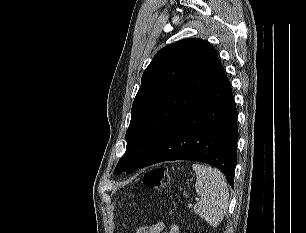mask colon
Returning <instances> with one entry per match:
<instances>
[{"mask_svg":"<svg viewBox=\"0 0 306 233\" xmlns=\"http://www.w3.org/2000/svg\"><path fill=\"white\" fill-rule=\"evenodd\" d=\"M168 179L166 167H157L148 171L143 178L145 188L154 189L164 185Z\"/></svg>","mask_w":306,"mask_h":233,"instance_id":"1","label":"colon"}]
</instances>
